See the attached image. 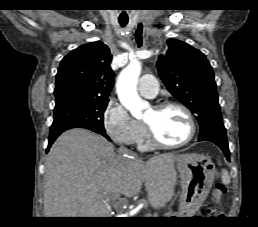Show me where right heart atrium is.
I'll return each instance as SVG.
<instances>
[{
	"label": "right heart atrium",
	"mask_w": 258,
	"mask_h": 227,
	"mask_svg": "<svg viewBox=\"0 0 258 227\" xmlns=\"http://www.w3.org/2000/svg\"><path fill=\"white\" fill-rule=\"evenodd\" d=\"M103 126L110 138L119 145H134L142 138L145 127L119 103L111 102L103 116Z\"/></svg>",
	"instance_id": "right-heart-atrium-1"
}]
</instances>
